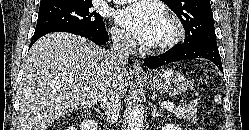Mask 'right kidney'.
Here are the masks:
<instances>
[{
  "mask_svg": "<svg viewBox=\"0 0 249 130\" xmlns=\"http://www.w3.org/2000/svg\"><path fill=\"white\" fill-rule=\"evenodd\" d=\"M98 123L95 120L87 119L81 122L80 129L81 130H97ZM69 130H75V128L70 127Z\"/></svg>",
  "mask_w": 249,
  "mask_h": 130,
  "instance_id": "obj_1",
  "label": "right kidney"
}]
</instances>
